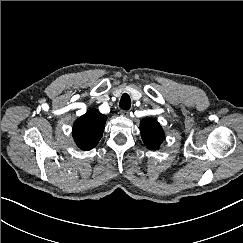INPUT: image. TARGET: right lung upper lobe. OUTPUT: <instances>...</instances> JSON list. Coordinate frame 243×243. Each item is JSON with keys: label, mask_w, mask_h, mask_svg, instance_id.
<instances>
[{"label": "right lung upper lobe", "mask_w": 243, "mask_h": 243, "mask_svg": "<svg viewBox=\"0 0 243 243\" xmlns=\"http://www.w3.org/2000/svg\"><path fill=\"white\" fill-rule=\"evenodd\" d=\"M106 119L105 115L95 109H90L75 121L72 135L81 150H90L98 144L104 131Z\"/></svg>", "instance_id": "right-lung-upper-lobe-1"}]
</instances>
